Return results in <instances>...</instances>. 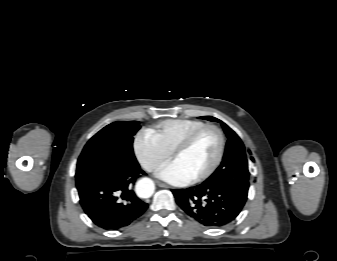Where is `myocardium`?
I'll list each match as a JSON object with an SVG mask.
<instances>
[{
    "mask_svg": "<svg viewBox=\"0 0 337 261\" xmlns=\"http://www.w3.org/2000/svg\"><path fill=\"white\" fill-rule=\"evenodd\" d=\"M208 130H212V131L217 133V135L219 137V150H218L217 156H216L214 162L212 163V165L207 170L202 172L201 174L192 178V182H194V183L200 182V181H203V180L209 178L220 166V164L223 160L224 154H225V149H226V137L224 135V132L216 125L205 124V125L197 128V129L191 131L189 134H187L182 139V141L174 148V150L171 153L172 158L175 159L179 154L186 151L193 144V142L196 140V138L200 134H202L203 132L208 131Z\"/></svg>",
    "mask_w": 337,
    "mask_h": 261,
    "instance_id": "myocardium-1",
    "label": "myocardium"
}]
</instances>
